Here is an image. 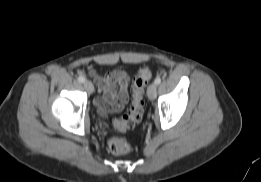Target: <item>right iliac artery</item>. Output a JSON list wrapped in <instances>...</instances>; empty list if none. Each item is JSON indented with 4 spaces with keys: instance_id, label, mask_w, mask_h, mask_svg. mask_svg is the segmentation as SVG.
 Returning a JSON list of instances; mask_svg holds the SVG:
<instances>
[{
    "instance_id": "82829eb1",
    "label": "right iliac artery",
    "mask_w": 261,
    "mask_h": 182,
    "mask_svg": "<svg viewBox=\"0 0 261 182\" xmlns=\"http://www.w3.org/2000/svg\"><path fill=\"white\" fill-rule=\"evenodd\" d=\"M78 81L81 82V83H83V82L85 81V78H84L83 76H79V77H78Z\"/></svg>"
}]
</instances>
